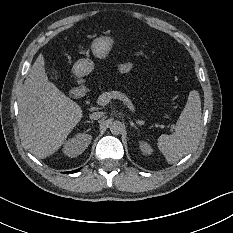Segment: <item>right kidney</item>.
<instances>
[{
  "instance_id": "obj_1",
  "label": "right kidney",
  "mask_w": 233,
  "mask_h": 233,
  "mask_svg": "<svg viewBox=\"0 0 233 233\" xmlns=\"http://www.w3.org/2000/svg\"><path fill=\"white\" fill-rule=\"evenodd\" d=\"M92 136L86 133H78L73 138L65 141L63 146V153L71 158L82 154L91 143Z\"/></svg>"
}]
</instances>
